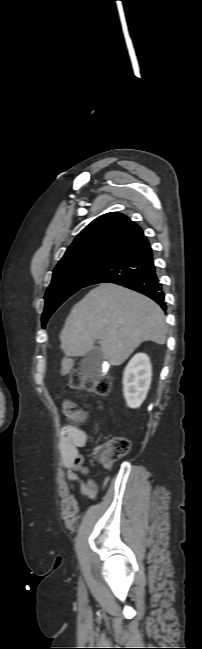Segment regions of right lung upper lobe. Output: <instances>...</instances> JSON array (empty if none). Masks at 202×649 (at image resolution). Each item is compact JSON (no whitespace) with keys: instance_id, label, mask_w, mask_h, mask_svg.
<instances>
[{"instance_id":"cb5924a9","label":"right lung upper lobe","mask_w":202,"mask_h":649,"mask_svg":"<svg viewBox=\"0 0 202 649\" xmlns=\"http://www.w3.org/2000/svg\"><path fill=\"white\" fill-rule=\"evenodd\" d=\"M145 238L142 229L129 217L111 212L98 217L84 228L63 258L93 251L118 254Z\"/></svg>"}]
</instances>
